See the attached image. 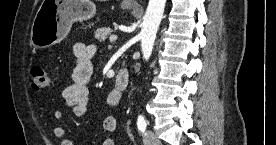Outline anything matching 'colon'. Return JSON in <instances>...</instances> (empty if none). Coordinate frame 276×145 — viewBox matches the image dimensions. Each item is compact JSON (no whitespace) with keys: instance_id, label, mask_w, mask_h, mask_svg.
Listing matches in <instances>:
<instances>
[{"instance_id":"colon-1","label":"colon","mask_w":276,"mask_h":145,"mask_svg":"<svg viewBox=\"0 0 276 145\" xmlns=\"http://www.w3.org/2000/svg\"><path fill=\"white\" fill-rule=\"evenodd\" d=\"M32 87L36 91L46 89L50 85V78L45 69L41 66H33L30 70Z\"/></svg>"}]
</instances>
